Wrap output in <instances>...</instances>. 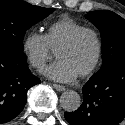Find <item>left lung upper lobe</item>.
<instances>
[{
    "mask_svg": "<svg viewBox=\"0 0 125 125\" xmlns=\"http://www.w3.org/2000/svg\"><path fill=\"white\" fill-rule=\"evenodd\" d=\"M86 18L100 31L103 39V65L125 62V20L108 10L88 12Z\"/></svg>",
    "mask_w": 125,
    "mask_h": 125,
    "instance_id": "1",
    "label": "left lung upper lobe"
}]
</instances>
